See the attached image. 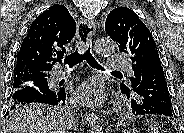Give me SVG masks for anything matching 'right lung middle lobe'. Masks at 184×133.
Masks as SVG:
<instances>
[{"mask_svg": "<svg viewBox=\"0 0 184 133\" xmlns=\"http://www.w3.org/2000/svg\"><path fill=\"white\" fill-rule=\"evenodd\" d=\"M23 76H27V78H22ZM31 80L33 84L44 90V91H50L52 89L49 88L47 83L46 75H36V74H30V73H24V74H17L14 76V83H13V91L19 89L21 86L24 85L23 80ZM29 104H23V103H11L10 108L11 110H15L16 112L20 110H24L25 107Z\"/></svg>", "mask_w": 184, "mask_h": 133, "instance_id": "right-lung-middle-lobe-1", "label": "right lung middle lobe"}]
</instances>
